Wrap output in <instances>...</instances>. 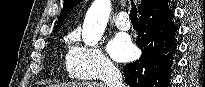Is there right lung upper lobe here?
<instances>
[{
	"label": "right lung upper lobe",
	"mask_w": 205,
	"mask_h": 87,
	"mask_svg": "<svg viewBox=\"0 0 205 87\" xmlns=\"http://www.w3.org/2000/svg\"><path fill=\"white\" fill-rule=\"evenodd\" d=\"M81 0H65L64 1V5H63V9L62 12L59 16V20L57 23L56 28L53 30L54 32H57L63 21L65 20L66 16L68 15V13L80 2ZM156 1L158 0H142L141 5L138 7V11L139 13H141L142 11L146 10L147 8H149L151 5H153Z\"/></svg>",
	"instance_id": "obj_1"
}]
</instances>
